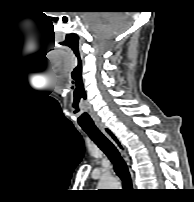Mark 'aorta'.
<instances>
[{
    "mask_svg": "<svg viewBox=\"0 0 194 202\" xmlns=\"http://www.w3.org/2000/svg\"><path fill=\"white\" fill-rule=\"evenodd\" d=\"M98 187L100 189H112V188L117 187V181L113 177L104 176L100 180Z\"/></svg>",
    "mask_w": 194,
    "mask_h": 202,
    "instance_id": "aorta-1",
    "label": "aorta"
}]
</instances>
